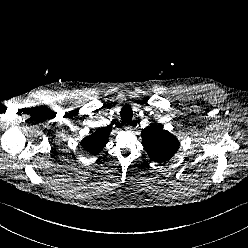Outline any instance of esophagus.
Listing matches in <instances>:
<instances>
[{
  "label": "esophagus",
  "instance_id": "obj_1",
  "mask_svg": "<svg viewBox=\"0 0 248 248\" xmlns=\"http://www.w3.org/2000/svg\"><path fill=\"white\" fill-rule=\"evenodd\" d=\"M132 128H133V127H132L130 124H125V125H124V130H126V131H131Z\"/></svg>",
  "mask_w": 248,
  "mask_h": 248
}]
</instances>
